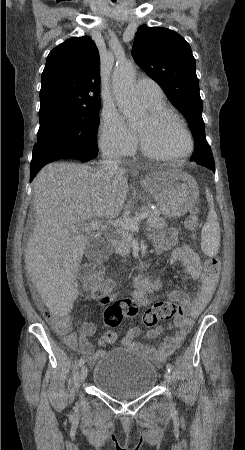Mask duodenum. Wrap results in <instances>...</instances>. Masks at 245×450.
Instances as JSON below:
<instances>
[{
  "instance_id": "410a0bca",
  "label": "duodenum",
  "mask_w": 245,
  "mask_h": 450,
  "mask_svg": "<svg viewBox=\"0 0 245 450\" xmlns=\"http://www.w3.org/2000/svg\"><path fill=\"white\" fill-rule=\"evenodd\" d=\"M116 243H117L116 239H114V238H110V239H109V244H110L111 246L116 245Z\"/></svg>"
}]
</instances>
